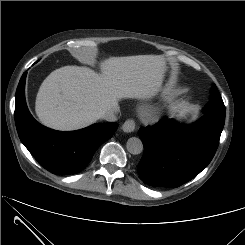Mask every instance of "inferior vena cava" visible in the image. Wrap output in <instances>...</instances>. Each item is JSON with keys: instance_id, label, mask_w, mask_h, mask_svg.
I'll use <instances>...</instances> for the list:
<instances>
[{"instance_id": "602c4592", "label": "inferior vena cava", "mask_w": 245, "mask_h": 245, "mask_svg": "<svg viewBox=\"0 0 245 245\" xmlns=\"http://www.w3.org/2000/svg\"><path fill=\"white\" fill-rule=\"evenodd\" d=\"M117 115H118V108H114L106 111L102 115V118L108 122H114L117 120Z\"/></svg>"}]
</instances>
